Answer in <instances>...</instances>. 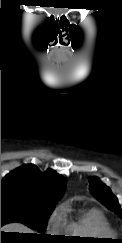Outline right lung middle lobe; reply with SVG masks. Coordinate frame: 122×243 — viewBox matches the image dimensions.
I'll return each mask as SVG.
<instances>
[{"label": "right lung middle lobe", "mask_w": 122, "mask_h": 243, "mask_svg": "<svg viewBox=\"0 0 122 243\" xmlns=\"http://www.w3.org/2000/svg\"><path fill=\"white\" fill-rule=\"evenodd\" d=\"M54 205H42L15 197H1V226L10 222H20L41 234L40 238H47L43 234L47 227Z\"/></svg>", "instance_id": "obj_1"}]
</instances>
